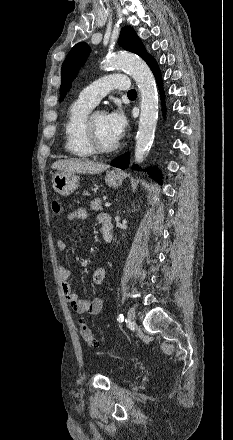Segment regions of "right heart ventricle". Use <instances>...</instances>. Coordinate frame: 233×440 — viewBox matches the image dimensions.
<instances>
[{
	"label": "right heart ventricle",
	"instance_id": "right-heart-ventricle-1",
	"mask_svg": "<svg viewBox=\"0 0 233 440\" xmlns=\"http://www.w3.org/2000/svg\"><path fill=\"white\" fill-rule=\"evenodd\" d=\"M92 108L93 106L78 99L70 105L67 111L64 123L65 149L71 156L88 158L94 154L84 133V123Z\"/></svg>",
	"mask_w": 233,
	"mask_h": 440
}]
</instances>
